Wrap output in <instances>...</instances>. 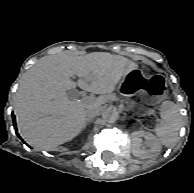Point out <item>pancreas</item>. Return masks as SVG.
Wrapping results in <instances>:
<instances>
[{
	"instance_id": "pancreas-1",
	"label": "pancreas",
	"mask_w": 194,
	"mask_h": 193,
	"mask_svg": "<svg viewBox=\"0 0 194 193\" xmlns=\"http://www.w3.org/2000/svg\"><path fill=\"white\" fill-rule=\"evenodd\" d=\"M128 111H132L135 114L141 115H151L152 111L150 109H146L143 106H140L139 103L129 101L128 105L125 106Z\"/></svg>"
}]
</instances>
